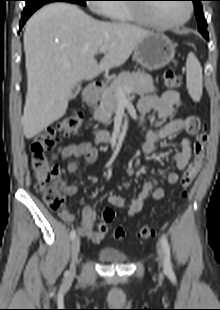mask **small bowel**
<instances>
[{"instance_id":"small-bowel-1","label":"small bowel","mask_w":220,"mask_h":310,"mask_svg":"<svg viewBox=\"0 0 220 310\" xmlns=\"http://www.w3.org/2000/svg\"><path fill=\"white\" fill-rule=\"evenodd\" d=\"M176 107H183L181 94L176 90H166L161 96H142L138 103L139 125H143L145 117L152 111L156 112L160 120H167L172 116ZM199 126L200 119L193 115L169 120L157 130H149L145 133L142 149L148 154L153 150L155 142L182 131L189 135H195L199 131ZM191 155L192 140L189 136H185L180 140V148L174 156L177 170L182 171L186 169ZM71 157L84 158L87 163H94L98 157L96 143L94 141L72 143L59 147L53 154L55 161L66 160ZM79 167V162L72 161L67 164L66 170L69 174H75ZM90 181L97 184L99 178L91 176ZM167 181L171 185L177 184L179 173L177 171L170 172L167 176ZM77 190L76 185H69L67 194L74 195ZM150 194L154 200L159 201L164 198L165 191L161 187L154 188L152 182L146 181L142 190L133 198L127 200L118 194H111L108 197V201L113 206L125 210L129 216H135L142 210L144 202ZM59 215L66 223H71L75 220V215L65 207L59 211ZM107 230L108 228L104 223L97 222L96 212L89 205H85L82 208V219L78 228L79 235L89 238L93 243H99L104 239Z\"/></svg>"}]
</instances>
